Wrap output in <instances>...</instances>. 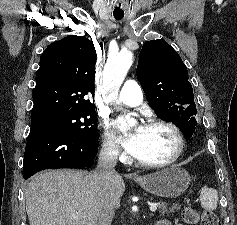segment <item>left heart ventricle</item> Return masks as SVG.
Here are the masks:
<instances>
[{"instance_id":"b2bd125f","label":"left heart ventricle","mask_w":237,"mask_h":225,"mask_svg":"<svg viewBox=\"0 0 237 225\" xmlns=\"http://www.w3.org/2000/svg\"><path fill=\"white\" fill-rule=\"evenodd\" d=\"M175 148L176 139L170 130L159 126H144L136 157L145 161H162L169 158Z\"/></svg>"}]
</instances>
